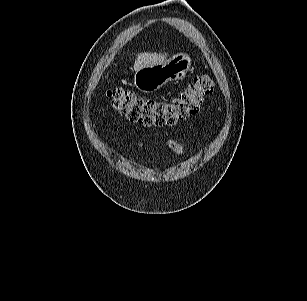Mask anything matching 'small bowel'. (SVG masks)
I'll return each instance as SVG.
<instances>
[{
    "label": "small bowel",
    "instance_id": "small-bowel-1",
    "mask_svg": "<svg viewBox=\"0 0 307 301\" xmlns=\"http://www.w3.org/2000/svg\"><path fill=\"white\" fill-rule=\"evenodd\" d=\"M165 142L168 145V147L171 148L173 151H175L177 154L184 155L185 149L179 141L172 139L170 137H166ZM132 146L136 148H142L145 146V143L142 141H137L132 143Z\"/></svg>",
    "mask_w": 307,
    "mask_h": 301
}]
</instances>
